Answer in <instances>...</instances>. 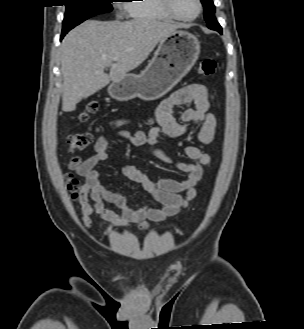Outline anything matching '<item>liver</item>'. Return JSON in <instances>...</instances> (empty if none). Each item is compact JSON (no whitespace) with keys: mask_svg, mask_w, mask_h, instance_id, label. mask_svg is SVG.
<instances>
[{"mask_svg":"<svg viewBox=\"0 0 304 329\" xmlns=\"http://www.w3.org/2000/svg\"><path fill=\"white\" fill-rule=\"evenodd\" d=\"M181 26L149 19L88 20L71 30L60 47L62 110L72 112L110 81L118 82L142 64L164 38ZM113 58H118L114 61ZM110 67V73L104 72Z\"/></svg>","mask_w":304,"mask_h":329,"instance_id":"obj_1","label":"liver"}]
</instances>
